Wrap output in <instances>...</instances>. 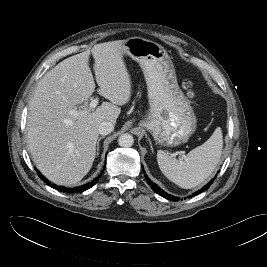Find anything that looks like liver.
Instances as JSON below:
<instances>
[{"instance_id": "obj_1", "label": "liver", "mask_w": 267, "mask_h": 267, "mask_svg": "<svg viewBox=\"0 0 267 267\" xmlns=\"http://www.w3.org/2000/svg\"><path fill=\"white\" fill-rule=\"evenodd\" d=\"M91 54L98 93L110 102H103L95 110L88 105L95 91L90 51L71 56L47 72L29 102L28 149L41 173L58 185L77 184L90 171L100 124H115L121 112L119 106L131 97L123 40L96 44ZM77 106L80 114H70Z\"/></svg>"}]
</instances>
